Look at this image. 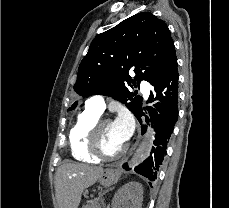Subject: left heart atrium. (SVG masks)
<instances>
[{
    "label": "left heart atrium",
    "mask_w": 229,
    "mask_h": 208,
    "mask_svg": "<svg viewBox=\"0 0 229 208\" xmlns=\"http://www.w3.org/2000/svg\"><path fill=\"white\" fill-rule=\"evenodd\" d=\"M116 132L124 140H128L133 132V120L126 110H121L113 122Z\"/></svg>",
    "instance_id": "left-heart-atrium-1"
}]
</instances>
